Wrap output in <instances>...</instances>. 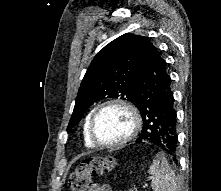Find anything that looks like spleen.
<instances>
[{
  "instance_id": "obj_1",
  "label": "spleen",
  "mask_w": 221,
  "mask_h": 191,
  "mask_svg": "<svg viewBox=\"0 0 221 191\" xmlns=\"http://www.w3.org/2000/svg\"><path fill=\"white\" fill-rule=\"evenodd\" d=\"M151 187L154 191H177V180L163 153H158L150 168Z\"/></svg>"
}]
</instances>
